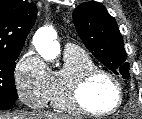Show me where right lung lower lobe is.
Segmentation results:
<instances>
[{"instance_id": "obj_1", "label": "right lung lower lobe", "mask_w": 142, "mask_h": 119, "mask_svg": "<svg viewBox=\"0 0 142 119\" xmlns=\"http://www.w3.org/2000/svg\"><path fill=\"white\" fill-rule=\"evenodd\" d=\"M12 105V103H0V110L9 109Z\"/></svg>"}]
</instances>
